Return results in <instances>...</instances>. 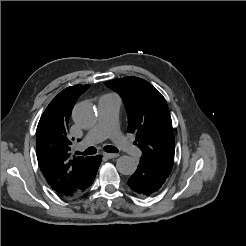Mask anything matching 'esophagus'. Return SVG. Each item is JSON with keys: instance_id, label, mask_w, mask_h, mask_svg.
<instances>
[{"instance_id": "34e87169", "label": "esophagus", "mask_w": 246, "mask_h": 246, "mask_svg": "<svg viewBox=\"0 0 246 246\" xmlns=\"http://www.w3.org/2000/svg\"><path fill=\"white\" fill-rule=\"evenodd\" d=\"M103 156L108 159H113V158H117L119 155L116 153H104Z\"/></svg>"}]
</instances>
